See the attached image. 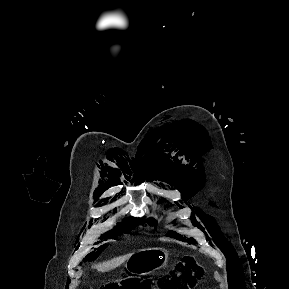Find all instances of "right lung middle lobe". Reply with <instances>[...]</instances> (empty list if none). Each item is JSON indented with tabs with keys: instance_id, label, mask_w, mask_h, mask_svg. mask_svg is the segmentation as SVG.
Instances as JSON below:
<instances>
[{
	"instance_id": "right-lung-middle-lobe-1",
	"label": "right lung middle lobe",
	"mask_w": 289,
	"mask_h": 289,
	"mask_svg": "<svg viewBox=\"0 0 289 289\" xmlns=\"http://www.w3.org/2000/svg\"><path fill=\"white\" fill-rule=\"evenodd\" d=\"M140 220L136 218H127L123 223L120 225L116 226L113 230L107 232L102 236V239H107V238H114L116 235H119L121 233H129L132 230V227H136L139 225ZM125 224H129L130 226H125Z\"/></svg>"
}]
</instances>
